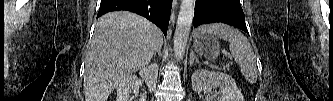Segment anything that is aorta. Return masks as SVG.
<instances>
[{
  "label": "aorta",
  "mask_w": 333,
  "mask_h": 101,
  "mask_svg": "<svg viewBox=\"0 0 333 101\" xmlns=\"http://www.w3.org/2000/svg\"><path fill=\"white\" fill-rule=\"evenodd\" d=\"M194 16V0H182L174 33V53L179 61L187 46Z\"/></svg>",
  "instance_id": "1"
}]
</instances>
